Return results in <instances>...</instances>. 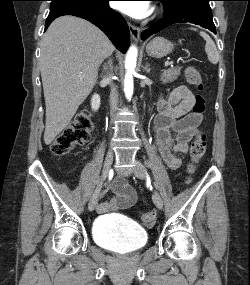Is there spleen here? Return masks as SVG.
<instances>
[{
  "mask_svg": "<svg viewBox=\"0 0 250 285\" xmlns=\"http://www.w3.org/2000/svg\"><path fill=\"white\" fill-rule=\"evenodd\" d=\"M193 30H196V29H193ZM200 35L206 41L205 52L207 54L208 60L212 64H217L218 61H219V52H218V50L216 48V45H215L214 41L205 32L201 31Z\"/></svg>",
  "mask_w": 250,
  "mask_h": 285,
  "instance_id": "1",
  "label": "spleen"
}]
</instances>
